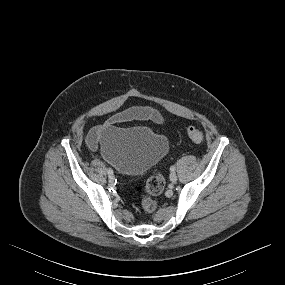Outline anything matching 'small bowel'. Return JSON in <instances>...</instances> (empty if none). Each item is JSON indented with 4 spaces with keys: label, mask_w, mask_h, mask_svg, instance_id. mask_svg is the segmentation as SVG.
I'll return each mask as SVG.
<instances>
[{
    "label": "small bowel",
    "mask_w": 285,
    "mask_h": 285,
    "mask_svg": "<svg viewBox=\"0 0 285 285\" xmlns=\"http://www.w3.org/2000/svg\"><path fill=\"white\" fill-rule=\"evenodd\" d=\"M128 120H149L156 124L164 123L163 115L154 108L141 106L133 107L125 111L119 112L113 115L109 120V124H114L118 122H124ZM101 135V127H96L90 131L87 136L86 143L87 146L95 150L98 147V143Z\"/></svg>",
    "instance_id": "small-bowel-1"
}]
</instances>
